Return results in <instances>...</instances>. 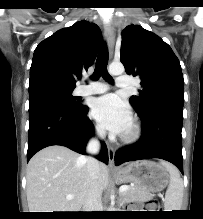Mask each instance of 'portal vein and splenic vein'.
<instances>
[{
    "label": "portal vein and splenic vein",
    "mask_w": 203,
    "mask_h": 219,
    "mask_svg": "<svg viewBox=\"0 0 203 219\" xmlns=\"http://www.w3.org/2000/svg\"><path fill=\"white\" fill-rule=\"evenodd\" d=\"M128 186H125V185H123V186H121L120 188H119V192L120 193H123L124 191H126V190H128ZM74 198V196L72 195V194H69V195H67L66 196V199L67 200H71V199H73Z\"/></svg>",
    "instance_id": "18ae733b"
}]
</instances>
